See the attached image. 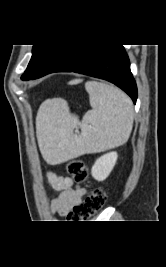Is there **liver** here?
I'll use <instances>...</instances> for the list:
<instances>
[{
  "mask_svg": "<svg viewBox=\"0 0 166 267\" xmlns=\"http://www.w3.org/2000/svg\"><path fill=\"white\" fill-rule=\"evenodd\" d=\"M82 80L81 79H75L69 82V84H78L80 83Z\"/></svg>",
  "mask_w": 166,
  "mask_h": 267,
  "instance_id": "liver-1",
  "label": "liver"
}]
</instances>
